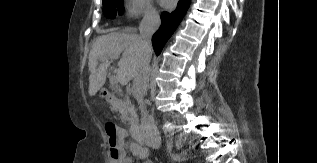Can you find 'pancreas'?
I'll list each match as a JSON object with an SVG mask.
<instances>
[{"instance_id": "pancreas-1", "label": "pancreas", "mask_w": 317, "mask_h": 163, "mask_svg": "<svg viewBox=\"0 0 317 163\" xmlns=\"http://www.w3.org/2000/svg\"><path fill=\"white\" fill-rule=\"evenodd\" d=\"M113 109L120 115V119L123 123L128 122L129 125H133L138 120L135 107L128 98L116 101L113 105Z\"/></svg>"}]
</instances>
